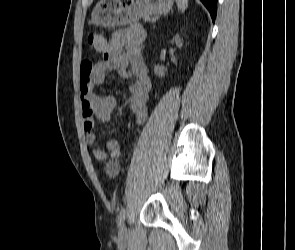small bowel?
Returning <instances> with one entry per match:
<instances>
[{"label": "small bowel", "instance_id": "small-bowel-1", "mask_svg": "<svg viewBox=\"0 0 295 250\" xmlns=\"http://www.w3.org/2000/svg\"><path fill=\"white\" fill-rule=\"evenodd\" d=\"M144 41L145 30L139 25L119 29L99 50L102 54L100 61L93 63L85 60L82 62L80 66V97L83 128L88 144L93 145L96 142L93 132L95 118L102 123L109 122L117 105L114 97H101L94 92V88L103 82L109 72L116 71L123 77L134 79L130 87L129 106L138 125L146 121L151 78L141 53ZM106 146L112 156L120 154L116 140L110 139ZM93 154L97 159L105 157L104 151L100 148H95Z\"/></svg>", "mask_w": 295, "mask_h": 250}]
</instances>
